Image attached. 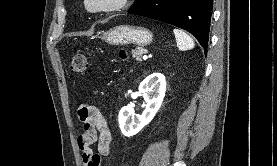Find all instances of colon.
<instances>
[{"label":"colon","instance_id":"colon-1","mask_svg":"<svg viewBox=\"0 0 277 166\" xmlns=\"http://www.w3.org/2000/svg\"><path fill=\"white\" fill-rule=\"evenodd\" d=\"M121 57L126 58L124 51L121 52ZM70 68L75 73H85L88 69V57L85 53L76 54L71 61Z\"/></svg>","mask_w":277,"mask_h":166}]
</instances>
